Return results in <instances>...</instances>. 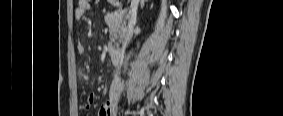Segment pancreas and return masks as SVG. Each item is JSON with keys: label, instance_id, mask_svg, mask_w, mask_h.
Returning <instances> with one entry per match:
<instances>
[{"label": "pancreas", "instance_id": "obj_1", "mask_svg": "<svg viewBox=\"0 0 283 116\" xmlns=\"http://www.w3.org/2000/svg\"><path fill=\"white\" fill-rule=\"evenodd\" d=\"M105 21L109 26L108 49L112 51L115 45H117V41H123L126 35V18L124 19V13L122 11H115L114 13L106 15Z\"/></svg>", "mask_w": 283, "mask_h": 116}]
</instances>
